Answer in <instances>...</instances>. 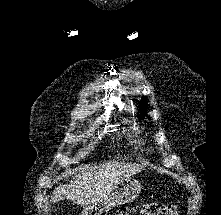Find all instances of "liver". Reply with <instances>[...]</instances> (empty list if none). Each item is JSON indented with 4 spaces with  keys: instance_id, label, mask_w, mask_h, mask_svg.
<instances>
[{
    "instance_id": "liver-1",
    "label": "liver",
    "mask_w": 221,
    "mask_h": 215,
    "mask_svg": "<svg viewBox=\"0 0 221 215\" xmlns=\"http://www.w3.org/2000/svg\"><path fill=\"white\" fill-rule=\"evenodd\" d=\"M138 164L108 161L89 168L69 185L59 186L51 196L52 202L71 199L73 203L89 206L104 198L120 181L140 172Z\"/></svg>"
}]
</instances>
